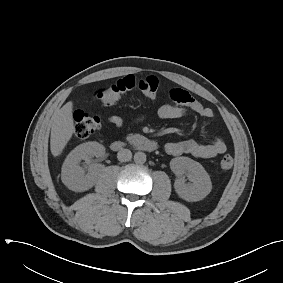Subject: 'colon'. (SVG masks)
<instances>
[{
  "instance_id": "5ec220e1",
  "label": "colon",
  "mask_w": 283,
  "mask_h": 283,
  "mask_svg": "<svg viewBox=\"0 0 283 283\" xmlns=\"http://www.w3.org/2000/svg\"><path fill=\"white\" fill-rule=\"evenodd\" d=\"M159 81L155 76H148L143 79H136L133 75H127L108 87L100 90L99 98L105 105L116 103L120 97L132 90H140L147 96H154L157 93ZM101 127V120L98 116L90 115L82 110L74 113V134L79 139H85L94 134ZM233 166V158L225 155L220 161L222 170H229Z\"/></svg>"
}]
</instances>
